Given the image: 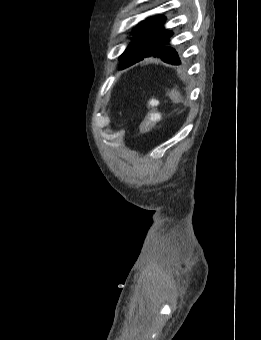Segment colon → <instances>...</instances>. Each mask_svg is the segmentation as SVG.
Here are the masks:
<instances>
[{"instance_id":"obj_1","label":"colon","mask_w":261,"mask_h":340,"mask_svg":"<svg viewBox=\"0 0 261 340\" xmlns=\"http://www.w3.org/2000/svg\"><path fill=\"white\" fill-rule=\"evenodd\" d=\"M159 101L156 98H151L147 101V114L140 125L142 133L149 132L161 119V114L158 110Z\"/></svg>"}]
</instances>
